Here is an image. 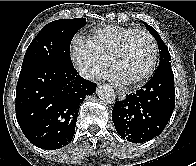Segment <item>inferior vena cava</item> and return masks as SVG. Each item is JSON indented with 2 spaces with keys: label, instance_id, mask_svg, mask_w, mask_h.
I'll list each match as a JSON object with an SVG mask.
<instances>
[{
  "label": "inferior vena cava",
  "instance_id": "1",
  "mask_svg": "<svg viewBox=\"0 0 196 166\" xmlns=\"http://www.w3.org/2000/svg\"><path fill=\"white\" fill-rule=\"evenodd\" d=\"M78 72L85 79H95L98 76L93 68L87 66L79 67Z\"/></svg>",
  "mask_w": 196,
  "mask_h": 166
}]
</instances>
